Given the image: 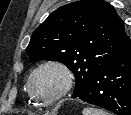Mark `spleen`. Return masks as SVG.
I'll use <instances>...</instances> for the list:
<instances>
[{
    "label": "spleen",
    "mask_w": 131,
    "mask_h": 115,
    "mask_svg": "<svg viewBox=\"0 0 131 115\" xmlns=\"http://www.w3.org/2000/svg\"><path fill=\"white\" fill-rule=\"evenodd\" d=\"M82 114L83 115H108L103 110L93 109V108H84Z\"/></svg>",
    "instance_id": "3e777b00"
}]
</instances>
